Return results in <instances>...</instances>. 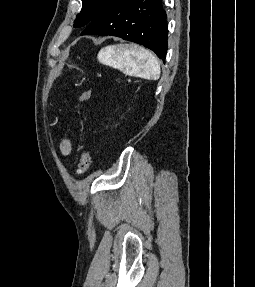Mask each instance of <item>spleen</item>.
<instances>
[{
  "instance_id": "obj_1",
  "label": "spleen",
  "mask_w": 255,
  "mask_h": 287,
  "mask_svg": "<svg viewBox=\"0 0 255 287\" xmlns=\"http://www.w3.org/2000/svg\"><path fill=\"white\" fill-rule=\"evenodd\" d=\"M101 64L111 68H125L128 74H133L143 80H159L161 70L159 62L148 50L129 48L128 44L122 46H106L97 56Z\"/></svg>"
}]
</instances>
